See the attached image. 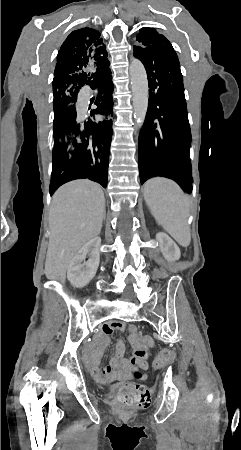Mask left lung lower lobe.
<instances>
[{
  "instance_id": "1",
  "label": "left lung lower lobe",
  "mask_w": 241,
  "mask_h": 450,
  "mask_svg": "<svg viewBox=\"0 0 241 450\" xmlns=\"http://www.w3.org/2000/svg\"><path fill=\"white\" fill-rule=\"evenodd\" d=\"M143 63L149 84V103L140 133L139 173L141 183L163 176L192 192L190 162L191 131L183 78L176 52L169 44L155 56L134 50Z\"/></svg>"
}]
</instances>
